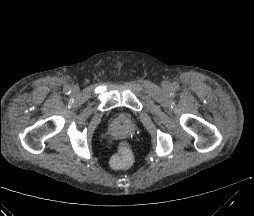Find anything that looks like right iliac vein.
<instances>
[{
    "label": "right iliac vein",
    "mask_w": 254,
    "mask_h": 216,
    "mask_svg": "<svg viewBox=\"0 0 254 216\" xmlns=\"http://www.w3.org/2000/svg\"><path fill=\"white\" fill-rule=\"evenodd\" d=\"M72 91H73L74 93H77V92H78V88H77V87H73V88H72Z\"/></svg>",
    "instance_id": "63e3f726"
}]
</instances>
